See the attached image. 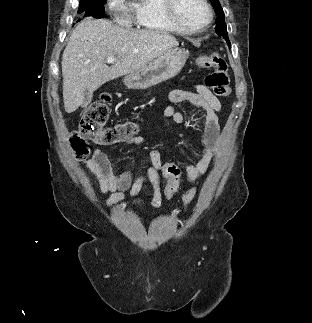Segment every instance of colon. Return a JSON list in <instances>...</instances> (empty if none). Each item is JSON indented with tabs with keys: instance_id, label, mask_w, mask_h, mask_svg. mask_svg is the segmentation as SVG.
<instances>
[{
	"instance_id": "colon-1",
	"label": "colon",
	"mask_w": 312,
	"mask_h": 323,
	"mask_svg": "<svg viewBox=\"0 0 312 323\" xmlns=\"http://www.w3.org/2000/svg\"><path fill=\"white\" fill-rule=\"evenodd\" d=\"M196 66L211 69L204 80L207 89L213 91L219 97H228L231 88L228 79V66L225 59L219 54H208L196 59ZM112 103V96L102 93L99 99L91 103L79 118V127L76 138L80 141L71 142V152L73 158H88V142L96 146H111L119 141L135 137L137 133L136 124L132 121H121L114 125H108ZM174 160H168L163 166L167 180L166 193L168 197L174 195L180 176L178 166ZM196 191L191 189L187 195L188 205L190 200L195 198ZM157 201L152 202L153 207H157Z\"/></svg>"
}]
</instances>
